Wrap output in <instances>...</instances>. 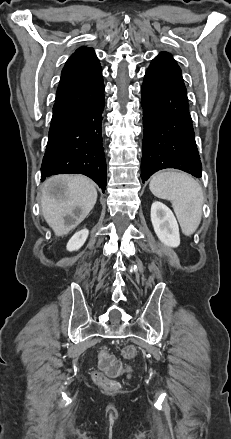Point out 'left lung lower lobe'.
<instances>
[{"instance_id":"1","label":"left lung lower lobe","mask_w":231,"mask_h":439,"mask_svg":"<svg viewBox=\"0 0 231 439\" xmlns=\"http://www.w3.org/2000/svg\"><path fill=\"white\" fill-rule=\"evenodd\" d=\"M143 146L141 178L176 168L201 177V161L180 67L166 52L155 57L142 85Z\"/></svg>"}]
</instances>
